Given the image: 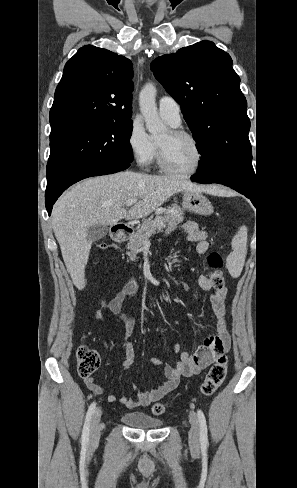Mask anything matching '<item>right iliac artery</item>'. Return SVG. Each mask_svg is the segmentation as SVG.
Segmentation results:
<instances>
[{
  "instance_id": "right-iliac-artery-1",
  "label": "right iliac artery",
  "mask_w": 297,
  "mask_h": 488,
  "mask_svg": "<svg viewBox=\"0 0 297 488\" xmlns=\"http://www.w3.org/2000/svg\"><path fill=\"white\" fill-rule=\"evenodd\" d=\"M95 407H96V403L93 402L88 408L86 418H85L84 427H83V432H82V442L83 443H87L89 440L90 421H91L92 415L95 412Z\"/></svg>"
}]
</instances>
